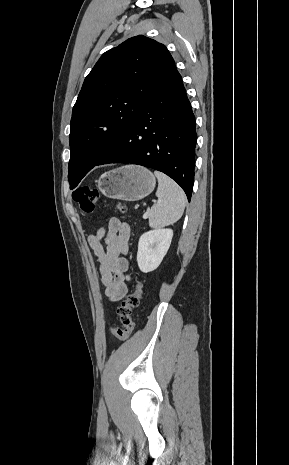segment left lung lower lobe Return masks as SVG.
<instances>
[{
	"label": "left lung lower lobe",
	"instance_id": "1",
	"mask_svg": "<svg viewBox=\"0 0 289 465\" xmlns=\"http://www.w3.org/2000/svg\"><path fill=\"white\" fill-rule=\"evenodd\" d=\"M195 145V117L176 71L146 97L134 120L96 165L131 163L161 171L183 188L190 201Z\"/></svg>",
	"mask_w": 289,
	"mask_h": 465
}]
</instances>
